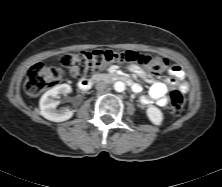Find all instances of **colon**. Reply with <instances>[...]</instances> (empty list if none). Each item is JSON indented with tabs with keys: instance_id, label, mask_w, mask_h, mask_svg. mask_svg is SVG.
<instances>
[{
	"instance_id": "5ec220e1",
	"label": "colon",
	"mask_w": 222,
	"mask_h": 187,
	"mask_svg": "<svg viewBox=\"0 0 222 187\" xmlns=\"http://www.w3.org/2000/svg\"><path fill=\"white\" fill-rule=\"evenodd\" d=\"M128 63L145 68L150 74L158 75L168 68L165 58L152 53L137 51L94 50L77 54H64L61 65L68 70L70 76L76 80H86L92 74L100 71L109 64ZM62 80V70L58 67L44 64L34 65L28 72L25 81V93L36 97L44 90L58 85ZM186 97L180 90L170 93V113L178 116L182 113Z\"/></svg>"
}]
</instances>
